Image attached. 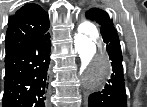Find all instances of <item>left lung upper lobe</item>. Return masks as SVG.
<instances>
[{"label":"left lung upper lobe","instance_id":"5c2ea615","mask_svg":"<svg viewBox=\"0 0 147 107\" xmlns=\"http://www.w3.org/2000/svg\"><path fill=\"white\" fill-rule=\"evenodd\" d=\"M86 18L97 24L98 27L113 26V21L108 14L99 8H91L85 13Z\"/></svg>","mask_w":147,"mask_h":107}]
</instances>
